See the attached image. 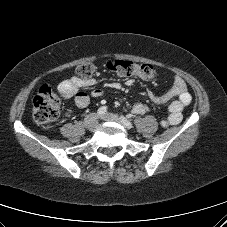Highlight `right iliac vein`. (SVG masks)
<instances>
[{"instance_id": "63e3f726", "label": "right iliac vein", "mask_w": 227, "mask_h": 227, "mask_svg": "<svg viewBox=\"0 0 227 227\" xmlns=\"http://www.w3.org/2000/svg\"><path fill=\"white\" fill-rule=\"evenodd\" d=\"M97 117L98 115L96 114L88 115L84 120L85 127L90 130H94L97 127Z\"/></svg>"}]
</instances>
